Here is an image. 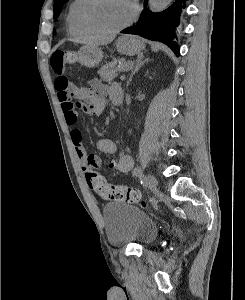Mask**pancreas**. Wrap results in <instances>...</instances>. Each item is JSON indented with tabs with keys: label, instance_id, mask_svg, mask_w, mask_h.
I'll return each instance as SVG.
<instances>
[{
	"label": "pancreas",
	"instance_id": "1",
	"mask_svg": "<svg viewBox=\"0 0 245 300\" xmlns=\"http://www.w3.org/2000/svg\"><path fill=\"white\" fill-rule=\"evenodd\" d=\"M130 63V61L122 62L121 66H124L125 64ZM116 61H113L111 63H108L104 65L101 69H99L98 74L100 75V78L104 81L111 82L119 72V68H115Z\"/></svg>",
	"mask_w": 245,
	"mask_h": 300
}]
</instances>
